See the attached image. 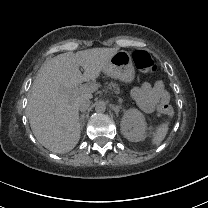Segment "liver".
Returning a JSON list of instances; mask_svg holds the SVG:
<instances>
[{"mask_svg":"<svg viewBox=\"0 0 208 208\" xmlns=\"http://www.w3.org/2000/svg\"><path fill=\"white\" fill-rule=\"evenodd\" d=\"M118 50L96 47L66 52L42 65L26 108L31 130L42 146L58 154L75 148L81 136L78 98H93L78 88L85 81L79 67H83L89 80H96Z\"/></svg>","mask_w":208,"mask_h":208,"instance_id":"obj_1","label":"liver"}]
</instances>
